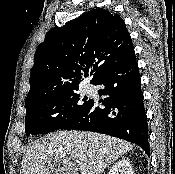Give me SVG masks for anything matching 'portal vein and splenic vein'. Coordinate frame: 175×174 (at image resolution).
Listing matches in <instances>:
<instances>
[{"label": "portal vein and splenic vein", "mask_w": 175, "mask_h": 174, "mask_svg": "<svg viewBox=\"0 0 175 174\" xmlns=\"http://www.w3.org/2000/svg\"><path fill=\"white\" fill-rule=\"evenodd\" d=\"M80 172H81V174H87L86 167L84 165H80Z\"/></svg>", "instance_id": "portal-vein-and-splenic-vein-1"}]
</instances>
